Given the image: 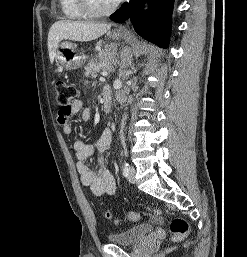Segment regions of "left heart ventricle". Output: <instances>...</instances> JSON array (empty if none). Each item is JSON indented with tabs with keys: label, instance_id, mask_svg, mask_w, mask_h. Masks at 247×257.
<instances>
[{
	"label": "left heart ventricle",
	"instance_id": "b2bd125f",
	"mask_svg": "<svg viewBox=\"0 0 247 257\" xmlns=\"http://www.w3.org/2000/svg\"><path fill=\"white\" fill-rule=\"evenodd\" d=\"M91 1L95 8L103 9V8L109 6L115 0H91Z\"/></svg>",
	"mask_w": 247,
	"mask_h": 257
}]
</instances>
